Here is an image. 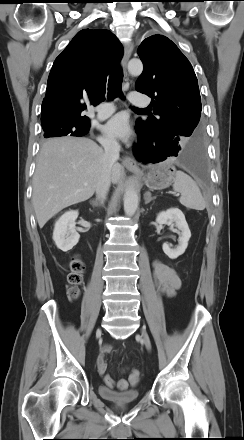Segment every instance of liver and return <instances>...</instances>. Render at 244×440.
Masks as SVG:
<instances>
[{"label":"liver","instance_id":"6515ba94","mask_svg":"<svg viewBox=\"0 0 244 440\" xmlns=\"http://www.w3.org/2000/svg\"><path fill=\"white\" fill-rule=\"evenodd\" d=\"M104 151L84 137L46 141L39 152L33 176L32 203L42 228L62 209L88 200L102 175ZM122 166L114 163L111 180L119 182Z\"/></svg>","mask_w":244,"mask_h":440}]
</instances>
